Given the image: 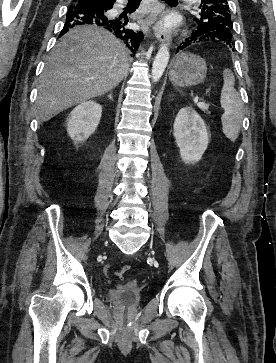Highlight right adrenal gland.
I'll use <instances>...</instances> for the list:
<instances>
[{
	"mask_svg": "<svg viewBox=\"0 0 276 363\" xmlns=\"http://www.w3.org/2000/svg\"><path fill=\"white\" fill-rule=\"evenodd\" d=\"M108 98H109L110 100H113V98H112V92L108 95Z\"/></svg>",
	"mask_w": 276,
	"mask_h": 363,
	"instance_id": "1",
	"label": "right adrenal gland"
}]
</instances>
